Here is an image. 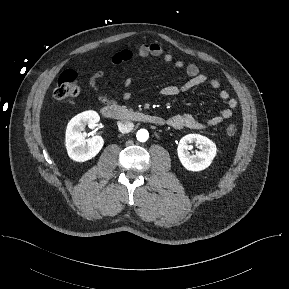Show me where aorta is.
<instances>
[{
  "label": "aorta",
  "mask_w": 289,
  "mask_h": 289,
  "mask_svg": "<svg viewBox=\"0 0 289 289\" xmlns=\"http://www.w3.org/2000/svg\"><path fill=\"white\" fill-rule=\"evenodd\" d=\"M137 140L140 142H146L149 138V133L145 129H140L138 130L136 134Z\"/></svg>",
  "instance_id": "aorta-1"
}]
</instances>
